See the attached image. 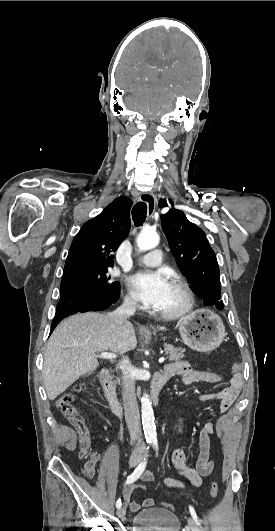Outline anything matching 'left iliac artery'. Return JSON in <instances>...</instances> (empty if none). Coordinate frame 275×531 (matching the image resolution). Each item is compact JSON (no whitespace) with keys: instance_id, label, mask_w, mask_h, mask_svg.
Returning <instances> with one entry per match:
<instances>
[{"instance_id":"1","label":"left iliac artery","mask_w":275,"mask_h":531,"mask_svg":"<svg viewBox=\"0 0 275 531\" xmlns=\"http://www.w3.org/2000/svg\"><path fill=\"white\" fill-rule=\"evenodd\" d=\"M153 448L157 452L158 451V442L156 439L152 440ZM189 511L195 522L200 526V522L198 520L197 514L192 506H189Z\"/></svg>"}]
</instances>
